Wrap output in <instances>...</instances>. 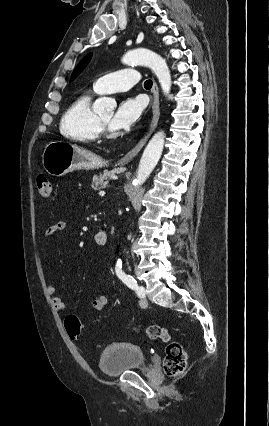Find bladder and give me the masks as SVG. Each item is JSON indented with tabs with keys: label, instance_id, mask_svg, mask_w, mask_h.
<instances>
[{
	"label": "bladder",
	"instance_id": "bladder-1",
	"mask_svg": "<svg viewBox=\"0 0 269 426\" xmlns=\"http://www.w3.org/2000/svg\"><path fill=\"white\" fill-rule=\"evenodd\" d=\"M101 371L110 377L136 370L146 363L143 350L127 342L113 343L99 357Z\"/></svg>",
	"mask_w": 269,
	"mask_h": 426
}]
</instances>
